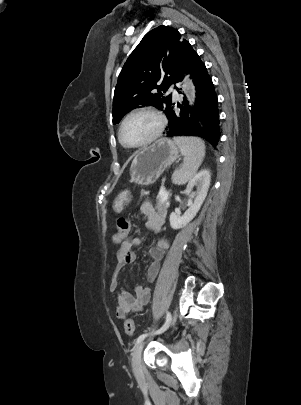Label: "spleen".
<instances>
[{"label":"spleen","mask_w":301,"mask_h":405,"mask_svg":"<svg viewBox=\"0 0 301 405\" xmlns=\"http://www.w3.org/2000/svg\"><path fill=\"white\" fill-rule=\"evenodd\" d=\"M174 142L184 157L181 169L173 175V182L180 185L191 180L196 174L205 156V144L197 137H174ZM126 200L127 193L122 192L114 203L116 212L122 210Z\"/></svg>","instance_id":"obj_1"}]
</instances>
